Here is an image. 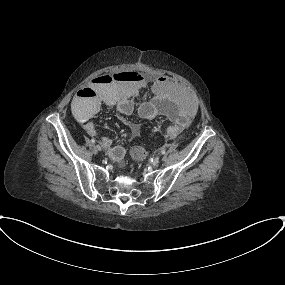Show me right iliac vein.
<instances>
[{
    "instance_id": "right-iliac-vein-1",
    "label": "right iliac vein",
    "mask_w": 285,
    "mask_h": 285,
    "mask_svg": "<svg viewBox=\"0 0 285 285\" xmlns=\"http://www.w3.org/2000/svg\"><path fill=\"white\" fill-rule=\"evenodd\" d=\"M95 149H96L97 151H101V150H102V147H101V145L96 144V145H95Z\"/></svg>"
}]
</instances>
